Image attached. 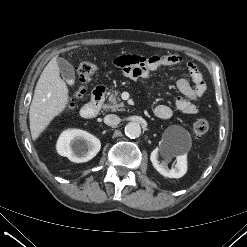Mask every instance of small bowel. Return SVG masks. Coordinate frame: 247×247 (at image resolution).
I'll list each match as a JSON object with an SVG mask.
<instances>
[{
  "mask_svg": "<svg viewBox=\"0 0 247 247\" xmlns=\"http://www.w3.org/2000/svg\"><path fill=\"white\" fill-rule=\"evenodd\" d=\"M181 61L182 58L178 55H153L145 58L134 54H126L116 58L114 63L125 76L137 80L148 79L152 72L162 67L178 65ZM187 69L194 86H191L186 78H180L177 81L176 86L182 96L176 98L175 106L184 114H195L198 109L194 101L204 95L206 83L193 62L187 63ZM154 114L160 119H169L173 111L169 106L160 104L155 107Z\"/></svg>",
  "mask_w": 247,
  "mask_h": 247,
  "instance_id": "obj_1",
  "label": "small bowel"
}]
</instances>
